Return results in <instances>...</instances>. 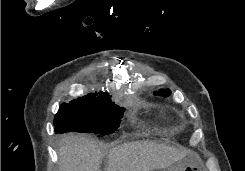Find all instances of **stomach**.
<instances>
[{"label":"stomach","instance_id":"obj_1","mask_svg":"<svg viewBox=\"0 0 245 171\" xmlns=\"http://www.w3.org/2000/svg\"><path fill=\"white\" fill-rule=\"evenodd\" d=\"M160 171H200L198 170V166L190 161L189 159H184L180 161L178 164L169 166L167 168H163Z\"/></svg>","mask_w":245,"mask_h":171}]
</instances>
